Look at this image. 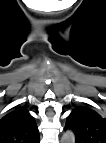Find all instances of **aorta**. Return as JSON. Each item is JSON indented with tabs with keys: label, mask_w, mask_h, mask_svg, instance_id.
I'll use <instances>...</instances> for the list:
<instances>
[{
	"label": "aorta",
	"mask_w": 106,
	"mask_h": 143,
	"mask_svg": "<svg viewBox=\"0 0 106 143\" xmlns=\"http://www.w3.org/2000/svg\"><path fill=\"white\" fill-rule=\"evenodd\" d=\"M75 142V135L72 131L67 130L63 133L61 138V143H74Z\"/></svg>",
	"instance_id": "obj_1"
}]
</instances>
